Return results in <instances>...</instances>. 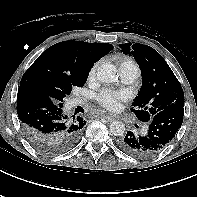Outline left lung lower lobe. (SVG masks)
<instances>
[{"mask_svg": "<svg viewBox=\"0 0 197 197\" xmlns=\"http://www.w3.org/2000/svg\"><path fill=\"white\" fill-rule=\"evenodd\" d=\"M184 108L160 111L148 123V130L143 135L128 131L121 137L118 145L121 150L137 158H146L163 150L175 137L181 127Z\"/></svg>", "mask_w": 197, "mask_h": 197, "instance_id": "0a47b994", "label": "left lung lower lobe"}]
</instances>
